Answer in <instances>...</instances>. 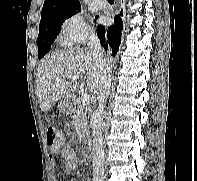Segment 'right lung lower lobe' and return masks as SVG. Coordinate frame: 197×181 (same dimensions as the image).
Segmentation results:
<instances>
[{"mask_svg": "<svg viewBox=\"0 0 197 181\" xmlns=\"http://www.w3.org/2000/svg\"><path fill=\"white\" fill-rule=\"evenodd\" d=\"M122 11L114 19V24L105 28L102 25L97 27L98 37L101 45L107 50L110 49L113 55H116L121 43V34L123 29Z\"/></svg>", "mask_w": 197, "mask_h": 181, "instance_id": "right-lung-lower-lobe-1", "label": "right lung lower lobe"}]
</instances>
